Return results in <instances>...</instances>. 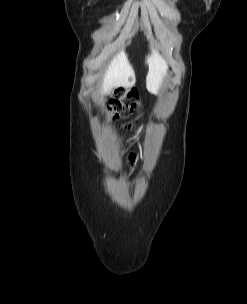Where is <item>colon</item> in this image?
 <instances>
[{"label": "colon", "instance_id": "1", "mask_svg": "<svg viewBox=\"0 0 247 304\" xmlns=\"http://www.w3.org/2000/svg\"><path fill=\"white\" fill-rule=\"evenodd\" d=\"M138 101V94L134 90L120 88L115 92L105 114L107 120H115L133 111Z\"/></svg>", "mask_w": 247, "mask_h": 304}]
</instances>
